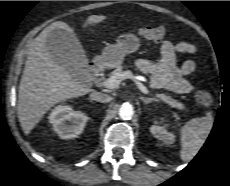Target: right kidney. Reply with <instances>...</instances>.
<instances>
[{
  "label": "right kidney",
  "mask_w": 230,
  "mask_h": 186,
  "mask_svg": "<svg viewBox=\"0 0 230 186\" xmlns=\"http://www.w3.org/2000/svg\"><path fill=\"white\" fill-rule=\"evenodd\" d=\"M48 119L60 138L72 139L82 133L88 116L81 111H74L70 106L60 105L53 109Z\"/></svg>",
  "instance_id": "ca27d5eb"
}]
</instances>
